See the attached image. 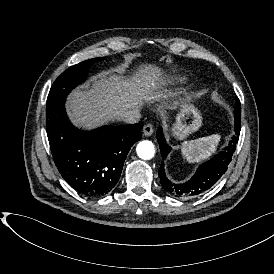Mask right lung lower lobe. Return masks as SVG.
<instances>
[{
	"instance_id": "98d812e1",
	"label": "right lung lower lobe",
	"mask_w": 274,
	"mask_h": 274,
	"mask_svg": "<svg viewBox=\"0 0 274 274\" xmlns=\"http://www.w3.org/2000/svg\"><path fill=\"white\" fill-rule=\"evenodd\" d=\"M65 100L46 110V131L62 177L81 195L102 197L114 190L131 146L141 139L142 123L105 125L81 131L69 121Z\"/></svg>"
}]
</instances>
